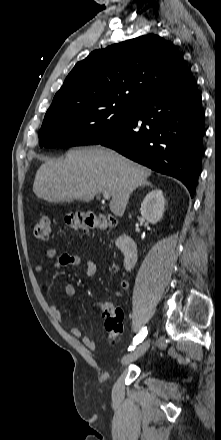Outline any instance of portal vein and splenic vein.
I'll return each instance as SVG.
<instances>
[{
    "label": "portal vein and splenic vein",
    "mask_w": 221,
    "mask_h": 440,
    "mask_svg": "<svg viewBox=\"0 0 221 440\" xmlns=\"http://www.w3.org/2000/svg\"><path fill=\"white\" fill-rule=\"evenodd\" d=\"M103 197H104L105 199H110V194H109L108 192H104V193H103Z\"/></svg>",
    "instance_id": "18ae733b"
}]
</instances>
